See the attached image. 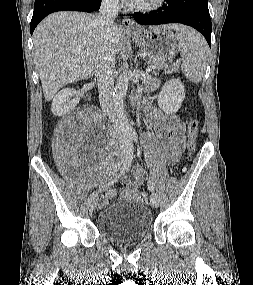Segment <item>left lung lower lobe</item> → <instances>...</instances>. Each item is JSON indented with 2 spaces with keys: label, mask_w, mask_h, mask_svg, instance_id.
<instances>
[{
  "label": "left lung lower lobe",
  "mask_w": 253,
  "mask_h": 285,
  "mask_svg": "<svg viewBox=\"0 0 253 285\" xmlns=\"http://www.w3.org/2000/svg\"><path fill=\"white\" fill-rule=\"evenodd\" d=\"M137 23L143 25L182 23L201 32L211 47V19L208 0H166L159 10L150 14L134 13Z\"/></svg>",
  "instance_id": "left-lung-lower-lobe-1"
}]
</instances>
